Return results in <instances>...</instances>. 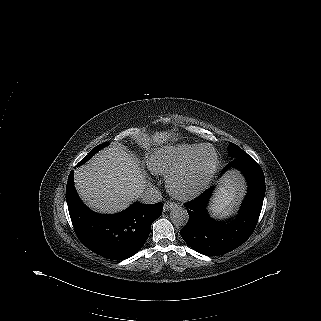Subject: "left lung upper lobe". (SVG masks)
Masks as SVG:
<instances>
[{
    "instance_id": "obj_1",
    "label": "left lung upper lobe",
    "mask_w": 321,
    "mask_h": 321,
    "mask_svg": "<svg viewBox=\"0 0 321 321\" xmlns=\"http://www.w3.org/2000/svg\"><path fill=\"white\" fill-rule=\"evenodd\" d=\"M228 154L231 157V159L243 157V156H248L246 152H244L239 146L229 142L228 146Z\"/></svg>"
}]
</instances>
